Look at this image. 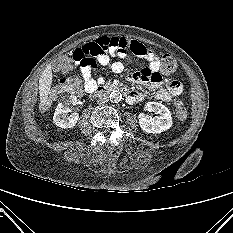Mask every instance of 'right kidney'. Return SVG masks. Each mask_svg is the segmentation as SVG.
<instances>
[{"mask_svg":"<svg viewBox=\"0 0 233 233\" xmlns=\"http://www.w3.org/2000/svg\"><path fill=\"white\" fill-rule=\"evenodd\" d=\"M76 103L77 97L70 96L67 100L57 105L53 116V121L56 126L66 129L73 128L76 125L77 121L79 120V114L76 112L68 114L70 111L69 106L71 104L75 105Z\"/></svg>","mask_w":233,"mask_h":233,"instance_id":"obj_1","label":"right kidney"}]
</instances>
